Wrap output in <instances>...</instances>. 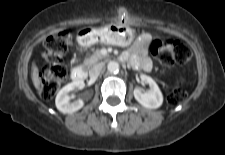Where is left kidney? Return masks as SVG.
I'll use <instances>...</instances> for the list:
<instances>
[{"label":"left kidney","instance_id":"5707ae66","mask_svg":"<svg viewBox=\"0 0 225 155\" xmlns=\"http://www.w3.org/2000/svg\"><path fill=\"white\" fill-rule=\"evenodd\" d=\"M141 80L145 83H148L150 90L143 93L140 89H134L135 99L144 107L149 109H157L163 103V95L159 89L157 83L149 76L142 74L140 76Z\"/></svg>","mask_w":225,"mask_h":155}]
</instances>
